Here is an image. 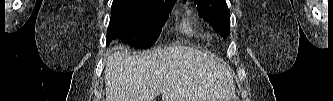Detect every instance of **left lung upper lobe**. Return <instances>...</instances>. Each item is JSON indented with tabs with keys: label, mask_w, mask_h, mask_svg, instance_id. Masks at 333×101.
<instances>
[{
	"label": "left lung upper lobe",
	"mask_w": 333,
	"mask_h": 101,
	"mask_svg": "<svg viewBox=\"0 0 333 101\" xmlns=\"http://www.w3.org/2000/svg\"><path fill=\"white\" fill-rule=\"evenodd\" d=\"M198 13L212 25L217 33L227 37L230 33V11L225 0H194Z\"/></svg>",
	"instance_id": "obj_1"
}]
</instances>
